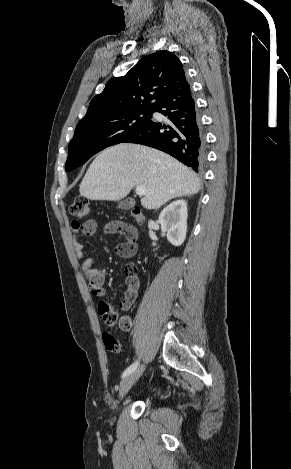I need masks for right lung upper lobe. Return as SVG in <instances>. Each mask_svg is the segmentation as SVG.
I'll return each instance as SVG.
<instances>
[{
  "label": "right lung upper lobe",
  "mask_w": 291,
  "mask_h": 469,
  "mask_svg": "<svg viewBox=\"0 0 291 469\" xmlns=\"http://www.w3.org/2000/svg\"><path fill=\"white\" fill-rule=\"evenodd\" d=\"M186 86L189 84L181 61L171 52L158 51L142 58L125 76L112 78L92 99L82 120L136 109L153 110L170 92Z\"/></svg>",
  "instance_id": "obj_1"
}]
</instances>
